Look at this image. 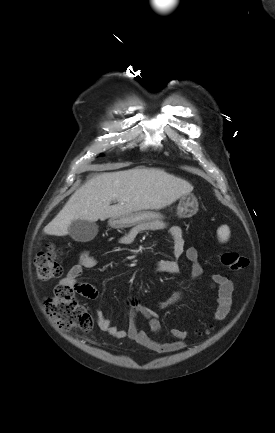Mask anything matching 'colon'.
<instances>
[{
  "mask_svg": "<svg viewBox=\"0 0 275 433\" xmlns=\"http://www.w3.org/2000/svg\"><path fill=\"white\" fill-rule=\"evenodd\" d=\"M220 260L226 268L233 271L244 269L248 265V259L236 251L223 253ZM35 268L36 277L41 280L52 279L62 274V265L53 244H48L45 252L36 255ZM45 311L53 323L63 331L88 332L93 327L92 316L78 302L69 287H57L53 296L45 302Z\"/></svg>",
  "mask_w": 275,
  "mask_h": 433,
  "instance_id": "colon-1",
  "label": "colon"
}]
</instances>
